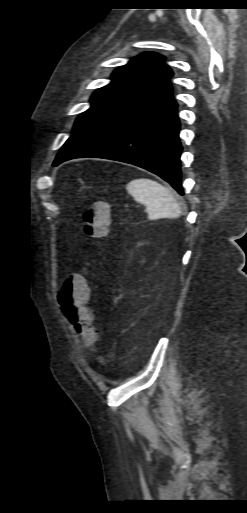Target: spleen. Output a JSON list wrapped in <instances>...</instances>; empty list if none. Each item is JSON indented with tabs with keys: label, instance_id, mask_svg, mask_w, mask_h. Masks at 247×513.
<instances>
[{
	"label": "spleen",
	"instance_id": "obj_1",
	"mask_svg": "<svg viewBox=\"0 0 247 513\" xmlns=\"http://www.w3.org/2000/svg\"><path fill=\"white\" fill-rule=\"evenodd\" d=\"M126 190L136 202L146 206L149 220L176 218L182 213L172 192L155 180L133 179L126 185Z\"/></svg>",
	"mask_w": 247,
	"mask_h": 513
}]
</instances>
